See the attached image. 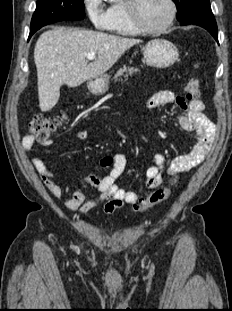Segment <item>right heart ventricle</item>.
I'll use <instances>...</instances> for the list:
<instances>
[{
	"label": "right heart ventricle",
	"instance_id": "obj_1",
	"mask_svg": "<svg viewBox=\"0 0 232 311\" xmlns=\"http://www.w3.org/2000/svg\"><path fill=\"white\" fill-rule=\"evenodd\" d=\"M108 13L109 23L106 29L109 32L122 36H135L139 34L129 21L125 0L113 2L108 8Z\"/></svg>",
	"mask_w": 232,
	"mask_h": 311
}]
</instances>
